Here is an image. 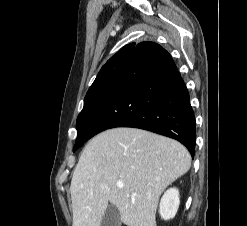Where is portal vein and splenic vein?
<instances>
[{
  "label": "portal vein and splenic vein",
  "mask_w": 247,
  "mask_h": 226,
  "mask_svg": "<svg viewBox=\"0 0 247 226\" xmlns=\"http://www.w3.org/2000/svg\"><path fill=\"white\" fill-rule=\"evenodd\" d=\"M117 187L122 189L124 187L123 183H117Z\"/></svg>",
  "instance_id": "obj_1"
}]
</instances>
